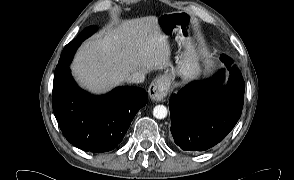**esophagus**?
<instances>
[{
  "mask_svg": "<svg viewBox=\"0 0 294 180\" xmlns=\"http://www.w3.org/2000/svg\"><path fill=\"white\" fill-rule=\"evenodd\" d=\"M172 81L173 76L171 74H165L160 76L154 83H151L148 88L151 100L162 102L168 94Z\"/></svg>",
  "mask_w": 294,
  "mask_h": 180,
  "instance_id": "34e87169",
  "label": "esophagus"
}]
</instances>
